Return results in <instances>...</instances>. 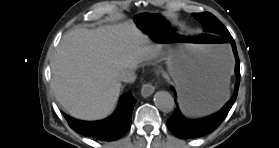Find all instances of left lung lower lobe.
Wrapping results in <instances>:
<instances>
[{"label": "left lung lower lobe", "mask_w": 279, "mask_h": 148, "mask_svg": "<svg viewBox=\"0 0 279 148\" xmlns=\"http://www.w3.org/2000/svg\"><path fill=\"white\" fill-rule=\"evenodd\" d=\"M224 38L230 41L236 59L235 74L237 76V80L235 84V92L232 98L221 109L220 112L205 119H199V120L186 119L181 114V112L178 109H176L173 115L167 120V126L169 130L178 138L181 139L198 138L211 133L225 119L229 110L235 103L238 94L239 83H240V62H239L236 45L232 36L229 35Z\"/></svg>", "instance_id": "1"}]
</instances>
